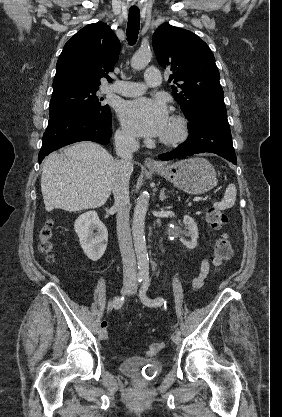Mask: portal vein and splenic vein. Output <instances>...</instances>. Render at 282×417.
Wrapping results in <instances>:
<instances>
[{"label":"portal vein and splenic vein","mask_w":282,"mask_h":417,"mask_svg":"<svg viewBox=\"0 0 282 417\" xmlns=\"http://www.w3.org/2000/svg\"><path fill=\"white\" fill-rule=\"evenodd\" d=\"M208 198V197H207ZM200 200H204L205 201V198L204 197H200V195L199 194H196L192 199H191V202L192 203H198Z\"/></svg>","instance_id":"obj_1"}]
</instances>
